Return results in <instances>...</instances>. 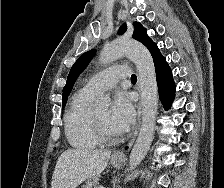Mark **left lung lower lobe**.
I'll return each mask as SVG.
<instances>
[{
	"instance_id": "left-lung-lower-lobe-1",
	"label": "left lung lower lobe",
	"mask_w": 224,
	"mask_h": 188,
	"mask_svg": "<svg viewBox=\"0 0 224 188\" xmlns=\"http://www.w3.org/2000/svg\"><path fill=\"white\" fill-rule=\"evenodd\" d=\"M156 69L157 83L160 100L165 109L171 106V100L174 96L175 84L172 78V71L163 57L154 63Z\"/></svg>"
}]
</instances>
